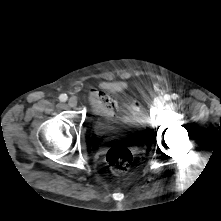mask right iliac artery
Instances as JSON below:
<instances>
[{"label": "right iliac artery", "mask_w": 221, "mask_h": 221, "mask_svg": "<svg viewBox=\"0 0 221 221\" xmlns=\"http://www.w3.org/2000/svg\"><path fill=\"white\" fill-rule=\"evenodd\" d=\"M67 95L66 94H61L60 96H59V100L60 101H62V102H65L66 100H67Z\"/></svg>", "instance_id": "1"}]
</instances>
